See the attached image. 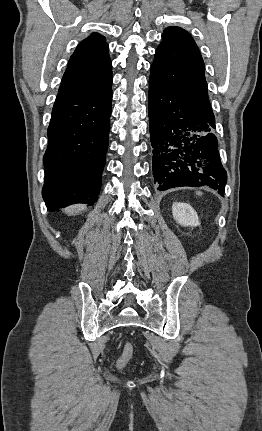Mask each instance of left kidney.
<instances>
[{
  "label": "left kidney",
  "instance_id": "1",
  "mask_svg": "<svg viewBox=\"0 0 262 431\" xmlns=\"http://www.w3.org/2000/svg\"><path fill=\"white\" fill-rule=\"evenodd\" d=\"M173 218L182 226L196 227L200 225L196 211L186 203H174L172 206Z\"/></svg>",
  "mask_w": 262,
  "mask_h": 431
}]
</instances>
